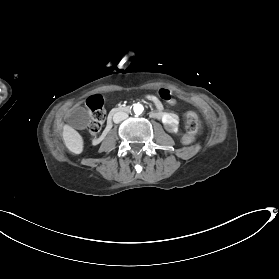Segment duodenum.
I'll use <instances>...</instances> for the list:
<instances>
[{
    "label": "duodenum",
    "mask_w": 279,
    "mask_h": 279,
    "mask_svg": "<svg viewBox=\"0 0 279 279\" xmlns=\"http://www.w3.org/2000/svg\"><path fill=\"white\" fill-rule=\"evenodd\" d=\"M130 107L128 105L119 106V107H112L110 110L106 112V128L100 133V136L95 135L93 137L92 145L94 147H98L100 144L104 142L106 136L110 133V130L113 128V115L118 113L128 112Z\"/></svg>",
    "instance_id": "obj_1"
}]
</instances>
